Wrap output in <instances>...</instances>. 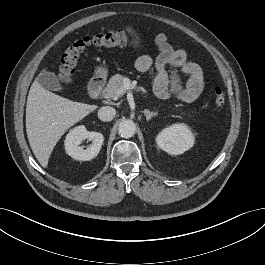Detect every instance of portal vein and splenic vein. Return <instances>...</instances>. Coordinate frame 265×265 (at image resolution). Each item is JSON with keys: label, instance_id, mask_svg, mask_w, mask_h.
<instances>
[{"label": "portal vein and splenic vein", "instance_id": "18ae733b", "mask_svg": "<svg viewBox=\"0 0 265 265\" xmlns=\"http://www.w3.org/2000/svg\"><path fill=\"white\" fill-rule=\"evenodd\" d=\"M135 88V85L131 84L130 80L128 78H126L123 81V85L122 87L118 90V94L119 96L124 94L125 92L129 91L130 89Z\"/></svg>", "mask_w": 265, "mask_h": 265}]
</instances>
